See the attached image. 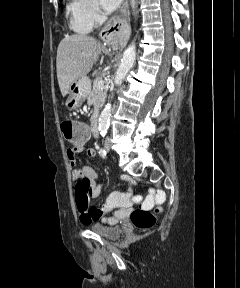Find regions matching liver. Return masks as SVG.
<instances>
[{"label": "liver", "instance_id": "6515ba94", "mask_svg": "<svg viewBox=\"0 0 240 288\" xmlns=\"http://www.w3.org/2000/svg\"><path fill=\"white\" fill-rule=\"evenodd\" d=\"M103 50L101 43L86 35H67L61 40L57 49L56 68L63 96L69 93L72 83L90 72Z\"/></svg>", "mask_w": 240, "mask_h": 288}]
</instances>
